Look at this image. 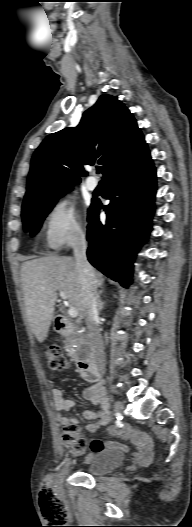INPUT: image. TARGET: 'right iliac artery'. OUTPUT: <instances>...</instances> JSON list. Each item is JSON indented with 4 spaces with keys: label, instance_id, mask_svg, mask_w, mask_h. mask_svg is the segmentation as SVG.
Wrapping results in <instances>:
<instances>
[{
    "label": "right iliac artery",
    "instance_id": "82829eb1",
    "mask_svg": "<svg viewBox=\"0 0 192 527\" xmlns=\"http://www.w3.org/2000/svg\"><path fill=\"white\" fill-rule=\"evenodd\" d=\"M116 428L122 429V422L115 419Z\"/></svg>",
    "mask_w": 192,
    "mask_h": 527
}]
</instances>
